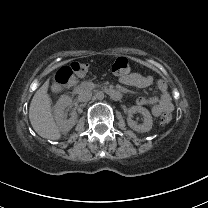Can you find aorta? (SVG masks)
Instances as JSON below:
<instances>
[{"label": "aorta", "mask_w": 208, "mask_h": 208, "mask_svg": "<svg viewBox=\"0 0 208 208\" xmlns=\"http://www.w3.org/2000/svg\"><path fill=\"white\" fill-rule=\"evenodd\" d=\"M96 98L99 100V101H102L104 99V93L103 92H98L96 94Z\"/></svg>", "instance_id": "aorta-1"}]
</instances>
